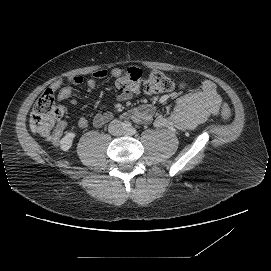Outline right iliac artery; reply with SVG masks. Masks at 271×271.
<instances>
[{
    "mask_svg": "<svg viewBox=\"0 0 271 271\" xmlns=\"http://www.w3.org/2000/svg\"><path fill=\"white\" fill-rule=\"evenodd\" d=\"M131 126L130 123H125V128H129Z\"/></svg>",
    "mask_w": 271,
    "mask_h": 271,
    "instance_id": "right-iliac-artery-1",
    "label": "right iliac artery"
}]
</instances>
